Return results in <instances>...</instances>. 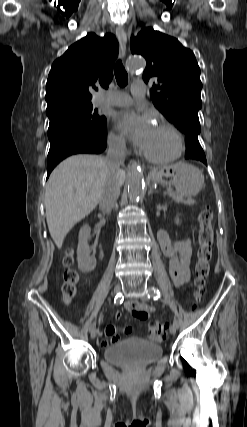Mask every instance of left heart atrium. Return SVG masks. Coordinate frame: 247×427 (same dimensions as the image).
<instances>
[{"instance_id":"1","label":"left heart atrium","mask_w":247,"mask_h":427,"mask_svg":"<svg viewBox=\"0 0 247 427\" xmlns=\"http://www.w3.org/2000/svg\"><path fill=\"white\" fill-rule=\"evenodd\" d=\"M116 123L121 133L142 149L146 146L154 130L149 116L132 111L120 113L116 118Z\"/></svg>"}]
</instances>
